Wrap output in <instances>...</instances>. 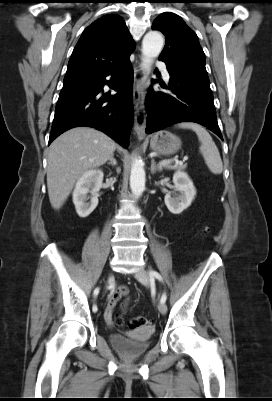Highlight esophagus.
Wrapping results in <instances>:
<instances>
[{"label": "esophagus", "instance_id": "obj_1", "mask_svg": "<svg viewBox=\"0 0 272 401\" xmlns=\"http://www.w3.org/2000/svg\"><path fill=\"white\" fill-rule=\"evenodd\" d=\"M134 85H133V101H134V131L137 134L139 140L145 137L146 127V114L143 104V82L145 73L142 69L141 61L136 60L134 63Z\"/></svg>", "mask_w": 272, "mask_h": 401}]
</instances>
